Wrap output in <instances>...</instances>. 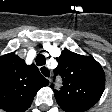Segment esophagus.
I'll return each instance as SVG.
<instances>
[{"mask_svg": "<svg viewBox=\"0 0 112 112\" xmlns=\"http://www.w3.org/2000/svg\"><path fill=\"white\" fill-rule=\"evenodd\" d=\"M39 70H40V72L42 73V70H47L46 72V75L47 76H45L43 73V75L50 81L51 80V71L48 69V67L47 66H41L40 68H39Z\"/></svg>", "mask_w": 112, "mask_h": 112, "instance_id": "obj_1", "label": "esophagus"}]
</instances>
